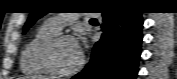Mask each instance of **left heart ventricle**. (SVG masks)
Returning <instances> with one entry per match:
<instances>
[{"instance_id": "1", "label": "left heart ventricle", "mask_w": 177, "mask_h": 79, "mask_svg": "<svg viewBox=\"0 0 177 79\" xmlns=\"http://www.w3.org/2000/svg\"><path fill=\"white\" fill-rule=\"evenodd\" d=\"M80 56L78 45L71 40L62 41L51 52L53 65L61 71L76 67L80 61Z\"/></svg>"}]
</instances>
